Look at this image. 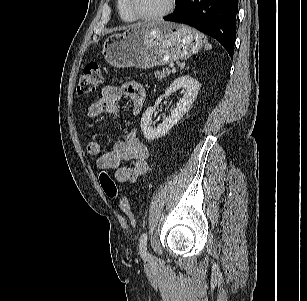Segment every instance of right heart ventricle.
Here are the masks:
<instances>
[{"label": "right heart ventricle", "instance_id": "right-heart-ventricle-1", "mask_svg": "<svg viewBox=\"0 0 307 301\" xmlns=\"http://www.w3.org/2000/svg\"><path fill=\"white\" fill-rule=\"evenodd\" d=\"M117 9L120 17L126 22H134L137 19L131 13L126 0H117Z\"/></svg>", "mask_w": 307, "mask_h": 301}]
</instances>
